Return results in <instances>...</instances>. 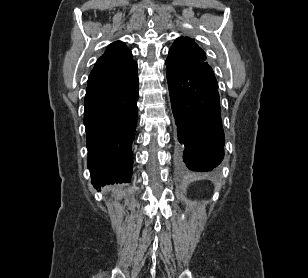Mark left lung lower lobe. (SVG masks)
<instances>
[{
  "mask_svg": "<svg viewBox=\"0 0 308 278\" xmlns=\"http://www.w3.org/2000/svg\"><path fill=\"white\" fill-rule=\"evenodd\" d=\"M177 144L186 166L210 171L224 156L218 84L207 62L166 67Z\"/></svg>",
  "mask_w": 308,
  "mask_h": 278,
  "instance_id": "0a47b994",
  "label": "left lung lower lobe"
}]
</instances>
